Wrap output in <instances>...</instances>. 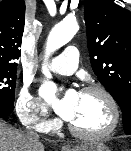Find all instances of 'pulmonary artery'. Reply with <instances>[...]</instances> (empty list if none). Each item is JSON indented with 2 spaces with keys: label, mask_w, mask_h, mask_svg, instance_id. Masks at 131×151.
Listing matches in <instances>:
<instances>
[{
  "label": "pulmonary artery",
  "mask_w": 131,
  "mask_h": 151,
  "mask_svg": "<svg viewBox=\"0 0 131 151\" xmlns=\"http://www.w3.org/2000/svg\"><path fill=\"white\" fill-rule=\"evenodd\" d=\"M78 58L79 51L77 47L68 46L60 55L50 61L49 68L56 73L70 75L77 69Z\"/></svg>",
  "instance_id": "pulmonary-artery-1"
}]
</instances>
